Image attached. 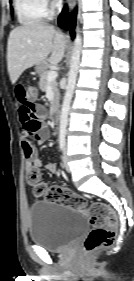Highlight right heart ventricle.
<instances>
[{"instance_id":"1","label":"right heart ventricle","mask_w":134,"mask_h":281,"mask_svg":"<svg viewBox=\"0 0 134 281\" xmlns=\"http://www.w3.org/2000/svg\"><path fill=\"white\" fill-rule=\"evenodd\" d=\"M17 18L21 24L31 25L48 17L45 0H14Z\"/></svg>"}]
</instances>
